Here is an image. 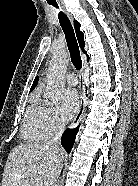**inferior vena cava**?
Wrapping results in <instances>:
<instances>
[{"label":"inferior vena cava","instance_id":"602c4592","mask_svg":"<svg viewBox=\"0 0 138 186\" xmlns=\"http://www.w3.org/2000/svg\"><path fill=\"white\" fill-rule=\"evenodd\" d=\"M65 130V123L61 122L57 125V131L55 136L48 142L49 145L59 147L58 144L61 140V136ZM62 168L61 160H58L53 165L49 175L47 176L45 186H57V179L60 175Z\"/></svg>","mask_w":138,"mask_h":186}]
</instances>
